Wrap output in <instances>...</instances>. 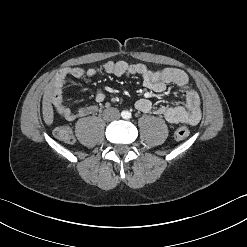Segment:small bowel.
<instances>
[{"label": "small bowel", "instance_id": "small-bowel-1", "mask_svg": "<svg viewBox=\"0 0 247 247\" xmlns=\"http://www.w3.org/2000/svg\"><path fill=\"white\" fill-rule=\"evenodd\" d=\"M102 71L106 74H113L117 77L125 75H140L144 85L157 93L166 90L167 84H174L181 88L185 94V104L182 105H154L148 98H141L136 101L135 107L138 111L147 113L153 112L164 117L171 124L183 123L190 126L196 125L201 119L200 98L197 92L189 85L187 74L177 68L150 69L141 63L106 62ZM99 73L97 68L87 70L81 67H70L61 70L56 74L52 81L51 103L58 115L67 121L86 117L97 113L98 105L81 107L76 111L71 110L64 103L63 90L66 85L67 77L74 78H93ZM104 91L98 90L95 95L96 103L103 102Z\"/></svg>", "mask_w": 247, "mask_h": 247}]
</instances>
